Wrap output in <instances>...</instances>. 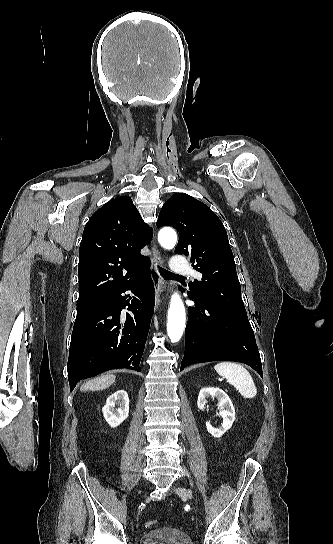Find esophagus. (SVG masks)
Wrapping results in <instances>:
<instances>
[{
  "label": "esophagus",
  "mask_w": 333,
  "mask_h": 544,
  "mask_svg": "<svg viewBox=\"0 0 333 544\" xmlns=\"http://www.w3.org/2000/svg\"><path fill=\"white\" fill-rule=\"evenodd\" d=\"M151 263L150 275L154 284L155 308L158 309L161 304V295L165 290V282L159 273V267L163 265V260L155 243L152 245Z\"/></svg>",
  "instance_id": "esophagus-1"
}]
</instances>
